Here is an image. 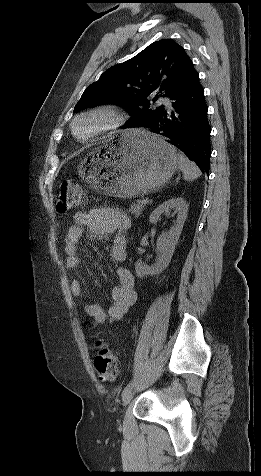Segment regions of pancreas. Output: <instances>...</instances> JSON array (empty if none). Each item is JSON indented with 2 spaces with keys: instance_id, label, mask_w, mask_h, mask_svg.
Masks as SVG:
<instances>
[{
  "instance_id": "pancreas-1",
  "label": "pancreas",
  "mask_w": 261,
  "mask_h": 476,
  "mask_svg": "<svg viewBox=\"0 0 261 476\" xmlns=\"http://www.w3.org/2000/svg\"><path fill=\"white\" fill-rule=\"evenodd\" d=\"M144 209V204H142V201L138 200L130 205L129 211L131 214L135 215V217H139Z\"/></svg>"
}]
</instances>
